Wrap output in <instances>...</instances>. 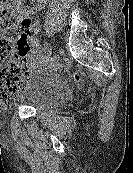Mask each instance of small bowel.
Here are the masks:
<instances>
[{
  "label": "small bowel",
  "instance_id": "small-bowel-1",
  "mask_svg": "<svg viewBox=\"0 0 133 173\" xmlns=\"http://www.w3.org/2000/svg\"><path fill=\"white\" fill-rule=\"evenodd\" d=\"M38 30H39L38 24L33 23L31 27V31L33 33H36ZM29 44H30V51L24 62L25 68H31L35 66L42 57V51L40 49L39 40L34 37H30Z\"/></svg>",
  "mask_w": 133,
  "mask_h": 173
}]
</instances>
